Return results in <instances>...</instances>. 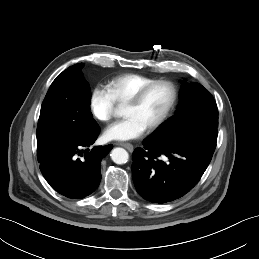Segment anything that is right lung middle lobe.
Wrapping results in <instances>:
<instances>
[{
	"mask_svg": "<svg viewBox=\"0 0 259 259\" xmlns=\"http://www.w3.org/2000/svg\"><path fill=\"white\" fill-rule=\"evenodd\" d=\"M75 64L52 82L43 100L37 125V149L57 139H70L96 124L89 111L91 92L81 69Z\"/></svg>",
	"mask_w": 259,
	"mask_h": 259,
	"instance_id": "1",
	"label": "right lung middle lobe"
}]
</instances>
